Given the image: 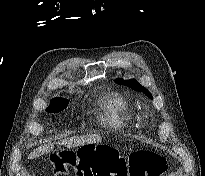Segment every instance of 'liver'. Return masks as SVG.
I'll list each match as a JSON object with an SVG mask.
<instances>
[{
  "instance_id": "liver-1",
  "label": "liver",
  "mask_w": 205,
  "mask_h": 176,
  "mask_svg": "<svg viewBox=\"0 0 205 176\" xmlns=\"http://www.w3.org/2000/svg\"><path fill=\"white\" fill-rule=\"evenodd\" d=\"M101 141L99 135H84V136H73L62 139L58 144L63 145L67 148L83 146L86 144L98 143ZM54 148V144L49 143L36 148L32 153L29 154L28 159L37 158L45 153L50 152Z\"/></svg>"
}]
</instances>
